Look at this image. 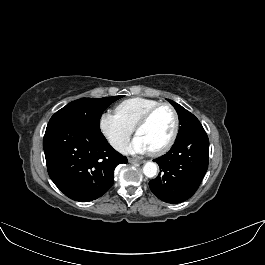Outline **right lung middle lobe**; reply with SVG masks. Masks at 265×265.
I'll return each instance as SVG.
<instances>
[{
	"label": "right lung middle lobe",
	"mask_w": 265,
	"mask_h": 265,
	"mask_svg": "<svg viewBox=\"0 0 265 265\" xmlns=\"http://www.w3.org/2000/svg\"><path fill=\"white\" fill-rule=\"evenodd\" d=\"M122 96L104 98H81L70 102L57 111L48 124L72 122L100 131V118L104 110Z\"/></svg>",
	"instance_id": "obj_1"
}]
</instances>
